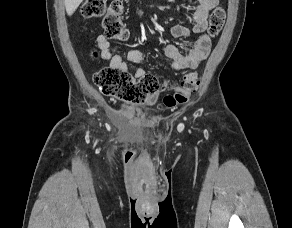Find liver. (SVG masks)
Masks as SVG:
<instances>
[{
    "label": "liver",
    "mask_w": 292,
    "mask_h": 228,
    "mask_svg": "<svg viewBox=\"0 0 292 228\" xmlns=\"http://www.w3.org/2000/svg\"><path fill=\"white\" fill-rule=\"evenodd\" d=\"M83 0H64L68 16H71Z\"/></svg>",
    "instance_id": "liver-1"
}]
</instances>
